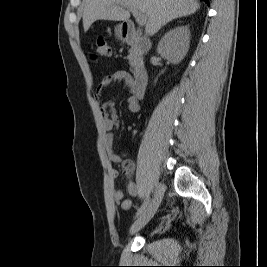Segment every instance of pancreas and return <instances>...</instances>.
<instances>
[{"mask_svg":"<svg viewBox=\"0 0 267 267\" xmlns=\"http://www.w3.org/2000/svg\"><path fill=\"white\" fill-rule=\"evenodd\" d=\"M128 60L131 68L135 67L142 60V51L137 46H133L129 50Z\"/></svg>","mask_w":267,"mask_h":267,"instance_id":"obj_1","label":"pancreas"}]
</instances>
